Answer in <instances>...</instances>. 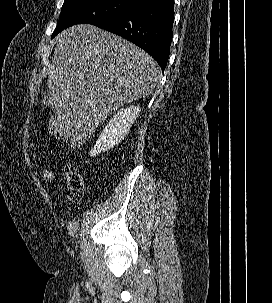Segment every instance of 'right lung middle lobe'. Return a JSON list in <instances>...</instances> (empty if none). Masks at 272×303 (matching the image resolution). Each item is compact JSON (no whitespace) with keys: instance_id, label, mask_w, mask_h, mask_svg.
<instances>
[{"instance_id":"right-lung-middle-lobe-1","label":"right lung middle lobe","mask_w":272,"mask_h":303,"mask_svg":"<svg viewBox=\"0 0 272 303\" xmlns=\"http://www.w3.org/2000/svg\"><path fill=\"white\" fill-rule=\"evenodd\" d=\"M138 7L131 0H65L52 38L75 24H93Z\"/></svg>"}]
</instances>
